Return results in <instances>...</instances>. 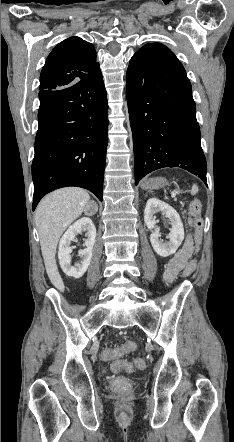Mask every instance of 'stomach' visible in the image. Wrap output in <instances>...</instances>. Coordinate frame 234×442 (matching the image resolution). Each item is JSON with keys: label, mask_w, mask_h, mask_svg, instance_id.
Segmentation results:
<instances>
[{"label": "stomach", "mask_w": 234, "mask_h": 442, "mask_svg": "<svg viewBox=\"0 0 234 442\" xmlns=\"http://www.w3.org/2000/svg\"><path fill=\"white\" fill-rule=\"evenodd\" d=\"M166 183L165 179L163 178H155L147 180L142 184V187L144 189H157L161 186H163Z\"/></svg>", "instance_id": "0dacf381"}]
</instances>
